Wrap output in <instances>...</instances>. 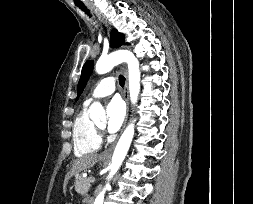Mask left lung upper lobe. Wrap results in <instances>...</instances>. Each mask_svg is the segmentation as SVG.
Returning <instances> with one entry per match:
<instances>
[{
	"label": "left lung upper lobe",
	"instance_id": "5c2ea615",
	"mask_svg": "<svg viewBox=\"0 0 253 204\" xmlns=\"http://www.w3.org/2000/svg\"><path fill=\"white\" fill-rule=\"evenodd\" d=\"M125 36L122 33H119L116 29H113L111 31V47H119L121 45H124ZM93 70V61H87L83 68L81 77L78 83V97L81 95L89 77Z\"/></svg>",
	"mask_w": 253,
	"mask_h": 204
}]
</instances>
